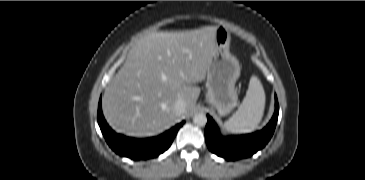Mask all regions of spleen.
<instances>
[{
  "label": "spleen",
  "instance_id": "obj_1",
  "mask_svg": "<svg viewBox=\"0 0 365 180\" xmlns=\"http://www.w3.org/2000/svg\"><path fill=\"white\" fill-rule=\"evenodd\" d=\"M265 100V92L260 80L252 76L246 96L236 113L224 123L225 129L234 134H245L256 130L264 114Z\"/></svg>",
  "mask_w": 365,
  "mask_h": 180
}]
</instances>
